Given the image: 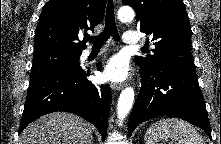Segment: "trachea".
Instances as JSON below:
<instances>
[{"label": "trachea", "instance_id": "trachea-1", "mask_svg": "<svg viewBox=\"0 0 221 144\" xmlns=\"http://www.w3.org/2000/svg\"><path fill=\"white\" fill-rule=\"evenodd\" d=\"M110 37L116 41L120 39L115 23L114 6L112 0H109L107 4L105 28L103 32L98 36H88L86 39L93 44V47H102Z\"/></svg>", "mask_w": 221, "mask_h": 144}]
</instances>
